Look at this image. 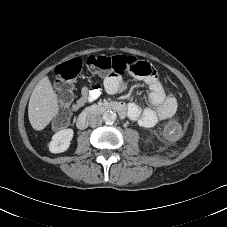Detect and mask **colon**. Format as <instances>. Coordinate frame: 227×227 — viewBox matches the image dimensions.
I'll return each mask as SVG.
<instances>
[{"mask_svg":"<svg viewBox=\"0 0 227 227\" xmlns=\"http://www.w3.org/2000/svg\"><path fill=\"white\" fill-rule=\"evenodd\" d=\"M83 65L93 73L102 75H120L126 72L134 73L141 77L156 76L155 68L146 61L137 60L133 56H88L83 61L80 58H74L60 65L55 70V75L59 82V94L62 102L68 105L73 98L74 80L81 72ZM71 117L69 109H65L54 122L55 129L64 128Z\"/></svg>","mask_w":227,"mask_h":227,"instance_id":"5ec220e1","label":"colon"}]
</instances>
